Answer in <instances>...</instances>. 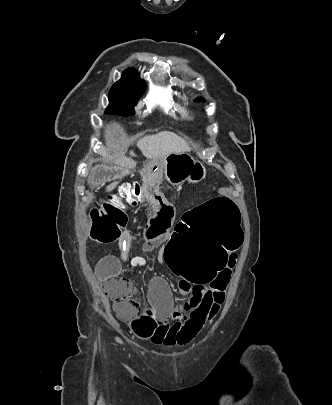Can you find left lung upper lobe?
<instances>
[{"label": "left lung upper lobe", "mask_w": 332, "mask_h": 405, "mask_svg": "<svg viewBox=\"0 0 332 405\" xmlns=\"http://www.w3.org/2000/svg\"><path fill=\"white\" fill-rule=\"evenodd\" d=\"M202 99L200 98V99H196V101H201Z\"/></svg>", "instance_id": "obj_1"}]
</instances>
